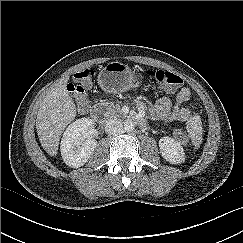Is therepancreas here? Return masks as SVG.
Listing matches in <instances>:
<instances>
[{"label":"pancreas","mask_w":243,"mask_h":243,"mask_svg":"<svg viewBox=\"0 0 243 243\" xmlns=\"http://www.w3.org/2000/svg\"><path fill=\"white\" fill-rule=\"evenodd\" d=\"M109 112L107 113L108 116H114L116 112L120 111V107L119 106H114L113 104H109Z\"/></svg>","instance_id":"pancreas-1"}]
</instances>
